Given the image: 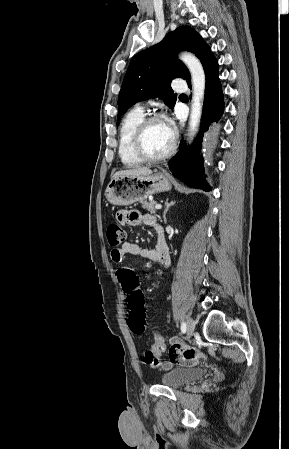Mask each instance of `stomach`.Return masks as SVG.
I'll return each instance as SVG.
<instances>
[{"instance_id": "stomach-1", "label": "stomach", "mask_w": 289, "mask_h": 449, "mask_svg": "<svg viewBox=\"0 0 289 449\" xmlns=\"http://www.w3.org/2000/svg\"><path fill=\"white\" fill-rule=\"evenodd\" d=\"M170 189L169 178L163 172L152 175L117 176L109 182L105 196L108 202L113 205L128 206Z\"/></svg>"}]
</instances>
